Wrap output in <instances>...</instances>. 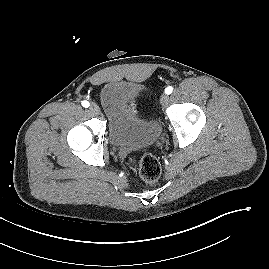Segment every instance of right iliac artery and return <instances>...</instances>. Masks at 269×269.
Here are the masks:
<instances>
[{"mask_svg": "<svg viewBox=\"0 0 269 269\" xmlns=\"http://www.w3.org/2000/svg\"><path fill=\"white\" fill-rule=\"evenodd\" d=\"M89 102L88 101H86V100H84V101H82V106L83 107H85V108H87V107H89Z\"/></svg>", "mask_w": 269, "mask_h": 269, "instance_id": "82829eb1", "label": "right iliac artery"}]
</instances>
